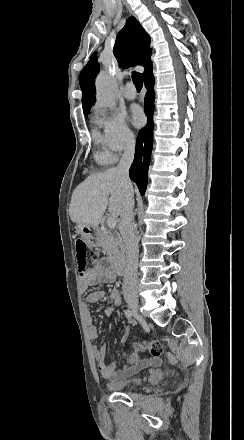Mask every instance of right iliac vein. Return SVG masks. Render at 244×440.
Returning <instances> with one entry per match:
<instances>
[{
  "mask_svg": "<svg viewBox=\"0 0 244 440\" xmlns=\"http://www.w3.org/2000/svg\"><path fill=\"white\" fill-rule=\"evenodd\" d=\"M125 300L134 312H137L139 310V300L136 294L126 296Z\"/></svg>",
  "mask_w": 244,
  "mask_h": 440,
  "instance_id": "1",
  "label": "right iliac vein"
}]
</instances>
